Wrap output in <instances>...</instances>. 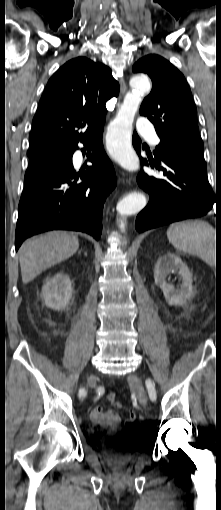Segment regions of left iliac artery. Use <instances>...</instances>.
<instances>
[{
  "instance_id": "1",
  "label": "left iliac artery",
  "mask_w": 221,
  "mask_h": 510,
  "mask_svg": "<svg viewBox=\"0 0 221 510\" xmlns=\"http://www.w3.org/2000/svg\"><path fill=\"white\" fill-rule=\"evenodd\" d=\"M146 386L148 389V394H149L150 399L152 401H155L156 400V391L153 390L152 383L148 379L146 381Z\"/></svg>"
}]
</instances>
